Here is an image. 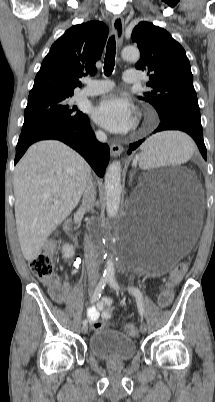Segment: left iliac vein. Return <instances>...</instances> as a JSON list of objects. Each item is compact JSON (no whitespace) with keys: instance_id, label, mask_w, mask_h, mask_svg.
<instances>
[{"instance_id":"left-iliac-vein-1","label":"left iliac vein","mask_w":215,"mask_h":402,"mask_svg":"<svg viewBox=\"0 0 215 402\" xmlns=\"http://www.w3.org/2000/svg\"><path fill=\"white\" fill-rule=\"evenodd\" d=\"M140 331H141V333H146V331H147V325L144 321H142L140 324Z\"/></svg>"}]
</instances>
